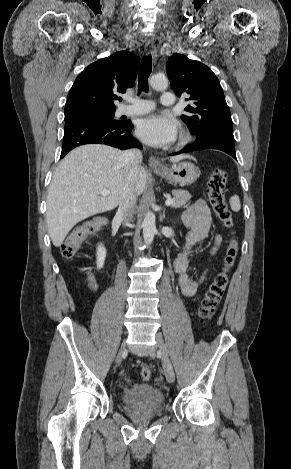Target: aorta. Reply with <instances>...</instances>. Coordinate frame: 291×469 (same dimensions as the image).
I'll use <instances>...</instances> for the list:
<instances>
[{
	"mask_svg": "<svg viewBox=\"0 0 291 469\" xmlns=\"http://www.w3.org/2000/svg\"><path fill=\"white\" fill-rule=\"evenodd\" d=\"M150 85L155 90H165L168 87V79L164 75H154L150 79ZM143 238L146 244H151L156 232L155 215L151 211H147L142 223Z\"/></svg>",
	"mask_w": 291,
	"mask_h": 469,
	"instance_id": "1",
	"label": "aorta"
}]
</instances>
